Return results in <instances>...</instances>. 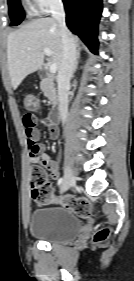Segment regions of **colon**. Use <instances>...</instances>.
Returning a JSON list of instances; mask_svg holds the SVG:
<instances>
[{
	"instance_id": "obj_1",
	"label": "colon",
	"mask_w": 134,
	"mask_h": 281,
	"mask_svg": "<svg viewBox=\"0 0 134 281\" xmlns=\"http://www.w3.org/2000/svg\"><path fill=\"white\" fill-rule=\"evenodd\" d=\"M25 108L29 111H34L38 108L39 102L36 96L28 94L24 99ZM31 197L37 204L43 205L50 203L53 200V190L48 182L47 174L41 167H34L30 176ZM59 203L74 211L77 215L87 218L91 215L90 203L82 198L64 197L59 200ZM109 234L107 229H101L94 234V242H103Z\"/></svg>"
}]
</instances>
